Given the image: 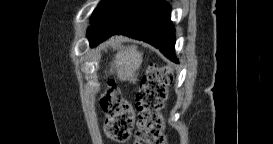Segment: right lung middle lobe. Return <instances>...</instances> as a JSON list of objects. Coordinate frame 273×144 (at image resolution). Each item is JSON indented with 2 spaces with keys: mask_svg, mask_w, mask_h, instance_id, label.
<instances>
[{
  "mask_svg": "<svg viewBox=\"0 0 273 144\" xmlns=\"http://www.w3.org/2000/svg\"><path fill=\"white\" fill-rule=\"evenodd\" d=\"M118 0H103L93 11V14L90 18L91 26L89 27L87 33L90 34L92 30L99 24L107 10L113 6Z\"/></svg>",
  "mask_w": 273,
  "mask_h": 144,
  "instance_id": "1",
  "label": "right lung middle lobe"
}]
</instances>
